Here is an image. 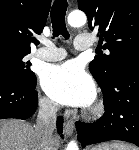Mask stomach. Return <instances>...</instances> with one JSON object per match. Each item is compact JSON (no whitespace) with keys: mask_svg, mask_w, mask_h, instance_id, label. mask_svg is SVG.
I'll use <instances>...</instances> for the list:
<instances>
[{"mask_svg":"<svg viewBox=\"0 0 139 150\" xmlns=\"http://www.w3.org/2000/svg\"><path fill=\"white\" fill-rule=\"evenodd\" d=\"M90 150H112L111 145L108 144H102L96 147L91 148Z\"/></svg>","mask_w":139,"mask_h":150,"instance_id":"0dacf381","label":"stomach"}]
</instances>
